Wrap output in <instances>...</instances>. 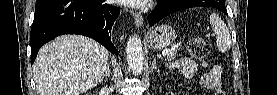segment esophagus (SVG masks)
<instances>
[{"instance_id":"obj_1","label":"esophagus","mask_w":277,"mask_h":95,"mask_svg":"<svg viewBox=\"0 0 277 95\" xmlns=\"http://www.w3.org/2000/svg\"><path fill=\"white\" fill-rule=\"evenodd\" d=\"M132 16H133L134 24L136 28H140L143 25V21H144L142 15L136 11H132Z\"/></svg>"}]
</instances>
